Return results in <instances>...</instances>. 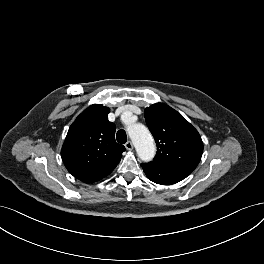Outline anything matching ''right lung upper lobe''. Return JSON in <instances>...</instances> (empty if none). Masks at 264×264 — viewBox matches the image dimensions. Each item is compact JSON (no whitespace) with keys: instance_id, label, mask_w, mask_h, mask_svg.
<instances>
[{"instance_id":"1","label":"right lung upper lobe","mask_w":264,"mask_h":264,"mask_svg":"<svg viewBox=\"0 0 264 264\" xmlns=\"http://www.w3.org/2000/svg\"><path fill=\"white\" fill-rule=\"evenodd\" d=\"M109 108L94 104L72 123L62 147L67 170L85 183L99 181L119 163L125 147L115 141L116 127L108 121Z\"/></svg>"}]
</instances>
